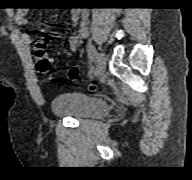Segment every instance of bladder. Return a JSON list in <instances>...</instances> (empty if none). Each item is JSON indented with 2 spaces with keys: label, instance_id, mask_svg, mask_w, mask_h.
I'll return each mask as SVG.
<instances>
[{
  "label": "bladder",
  "instance_id": "obj_1",
  "mask_svg": "<svg viewBox=\"0 0 192 180\" xmlns=\"http://www.w3.org/2000/svg\"><path fill=\"white\" fill-rule=\"evenodd\" d=\"M53 114L60 118L83 120L100 117L109 111L106 101L80 93H65L54 97L51 101Z\"/></svg>",
  "mask_w": 192,
  "mask_h": 180
}]
</instances>
